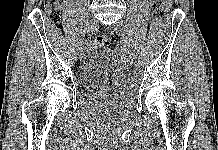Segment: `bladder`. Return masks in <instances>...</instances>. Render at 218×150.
<instances>
[{
  "label": "bladder",
  "instance_id": "bladder-1",
  "mask_svg": "<svg viewBox=\"0 0 218 150\" xmlns=\"http://www.w3.org/2000/svg\"><path fill=\"white\" fill-rule=\"evenodd\" d=\"M119 72L109 51L93 49L81 66L80 83L86 90L105 88L119 75Z\"/></svg>",
  "mask_w": 218,
  "mask_h": 150
}]
</instances>
